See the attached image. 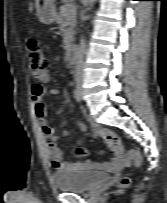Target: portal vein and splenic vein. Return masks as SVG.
<instances>
[{"mask_svg":"<svg viewBox=\"0 0 167 203\" xmlns=\"http://www.w3.org/2000/svg\"><path fill=\"white\" fill-rule=\"evenodd\" d=\"M65 10L69 13H73L75 12V6L72 4L67 5V7L65 8Z\"/></svg>","mask_w":167,"mask_h":203,"instance_id":"obj_1","label":"portal vein and splenic vein"}]
</instances>
